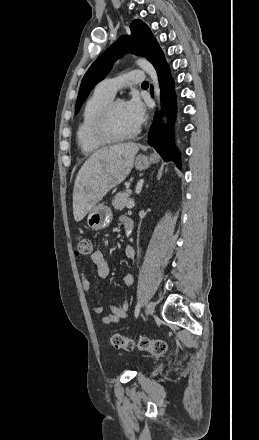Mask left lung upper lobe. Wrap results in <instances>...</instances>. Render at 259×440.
Masks as SVG:
<instances>
[{
	"label": "left lung upper lobe",
	"mask_w": 259,
	"mask_h": 440,
	"mask_svg": "<svg viewBox=\"0 0 259 440\" xmlns=\"http://www.w3.org/2000/svg\"><path fill=\"white\" fill-rule=\"evenodd\" d=\"M130 30L131 36L120 37L93 62L84 75L76 102V114L90 91L107 76L112 69L113 63L126 52L128 45H131L130 49L133 53L142 56L146 55L148 60L159 47L149 27L141 20H134L130 25Z\"/></svg>",
	"instance_id": "obj_1"
}]
</instances>
